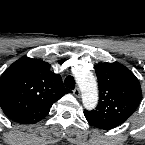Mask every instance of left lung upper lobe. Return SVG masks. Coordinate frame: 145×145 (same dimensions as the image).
Wrapping results in <instances>:
<instances>
[{
	"instance_id": "1",
	"label": "left lung upper lobe",
	"mask_w": 145,
	"mask_h": 145,
	"mask_svg": "<svg viewBox=\"0 0 145 145\" xmlns=\"http://www.w3.org/2000/svg\"><path fill=\"white\" fill-rule=\"evenodd\" d=\"M99 83V103L95 110L84 111L94 127L112 129L124 123L136 110L141 98V86L136 76L125 66L114 63L95 65Z\"/></svg>"
}]
</instances>
